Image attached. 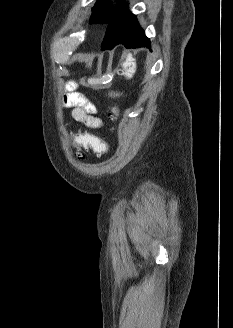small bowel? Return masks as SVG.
Instances as JSON below:
<instances>
[{
  "label": "small bowel",
  "instance_id": "1",
  "mask_svg": "<svg viewBox=\"0 0 233 328\" xmlns=\"http://www.w3.org/2000/svg\"><path fill=\"white\" fill-rule=\"evenodd\" d=\"M67 94L64 97V104L73 108L72 116L74 120L83 123L89 128L99 129L103 127V121L95 116L96 107L85 98L81 93L77 92V85L69 82L66 86Z\"/></svg>",
  "mask_w": 233,
  "mask_h": 328
}]
</instances>
